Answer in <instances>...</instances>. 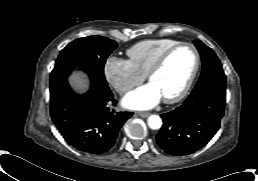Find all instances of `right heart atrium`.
<instances>
[{
  "mask_svg": "<svg viewBox=\"0 0 258 181\" xmlns=\"http://www.w3.org/2000/svg\"><path fill=\"white\" fill-rule=\"evenodd\" d=\"M104 75L110 86L120 94H126L145 79L128 60L113 56L105 61Z\"/></svg>",
  "mask_w": 258,
  "mask_h": 181,
  "instance_id": "obj_1",
  "label": "right heart atrium"
}]
</instances>
